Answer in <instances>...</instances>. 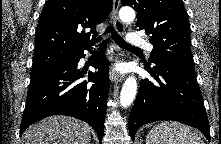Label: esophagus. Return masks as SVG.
<instances>
[{
    "label": "esophagus",
    "instance_id": "34e87169",
    "mask_svg": "<svg viewBox=\"0 0 221 144\" xmlns=\"http://www.w3.org/2000/svg\"><path fill=\"white\" fill-rule=\"evenodd\" d=\"M119 6H120V0H113L112 17H113L115 30L119 34H123L125 27H124V24L120 21L119 16H118ZM124 78L125 76L123 74L117 73L114 68L111 69L110 71L111 82H121Z\"/></svg>",
    "mask_w": 221,
    "mask_h": 144
}]
</instances>
